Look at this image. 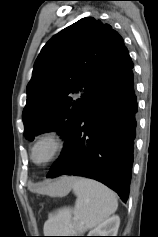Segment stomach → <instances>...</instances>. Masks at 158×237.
I'll return each instance as SVG.
<instances>
[{
    "label": "stomach",
    "instance_id": "stomach-1",
    "mask_svg": "<svg viewBox=\"0 0 158 237\" xmlns=\"http://www.w3.org/2000/svg\"><path fill=\"white\" fill-rule=\"evenodd\" d=\"M73 184H66L64 186H62L61 188H59L54 195H58V196H63L66 195L72 188Z\"/></svg>",
    "mask_w": 158,
    "mask_h": 237
}]
</instances>
